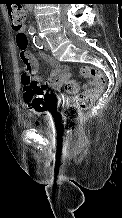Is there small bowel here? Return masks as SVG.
Here are the masks:
<instances>
[{
  "label": "small bowel",
  "mask_w": 122,
  "mask_h": 218,
  "mask_svg": "<svg viewBox=\"0 0 122 218\" xmlns=\"http://www.w3.org/2000/svg\"><path fill=\"white\" fill-rule=\"evenodd\" d=\"M22 32H25V28H22ZM43 61L50 65L53 68V72L48 80H40L37 76L39 64L37 59L28 53V59L26 60L25 64L29 68V72L32 78V81L36 83L38 86L43 87L44 90L39 89L35 93V101L37 104L42 106H46V87L50 86L54 91H60L63 84L70 78L71 73L70 69L67 66H63L58 63L53 57L42 54L41 55ZM24 96V95H23ZM60 99L62 101H69L68 97L61 95Z\"/></svg>",
  "instance_id": "small-bowel-1"
}]
</instances>
